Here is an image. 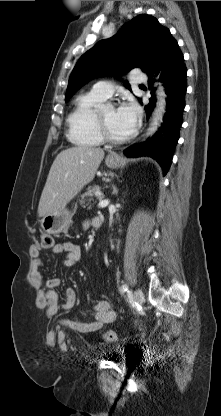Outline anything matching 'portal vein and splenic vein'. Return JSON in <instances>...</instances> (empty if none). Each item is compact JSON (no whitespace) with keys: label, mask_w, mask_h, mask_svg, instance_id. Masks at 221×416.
<instances>
[{"label":"portal vein and splenic vein","mask_w":221,"mask_h":416,"mask_svg":"<svg viewBox=\"0 0 221 416\" xmlns=\"http://www.w3.org/2000/svg\"><path fill=\"white\" fill-rule=\"evenodd\" d=\"M97 194L100 195L101 193L100 192H97ZM108 204H109V200L108 199H104V200H101L99 202L98 206L103 208V207H106Z\"/></svg>","instance_id":"obj_1"}]
</instances>
